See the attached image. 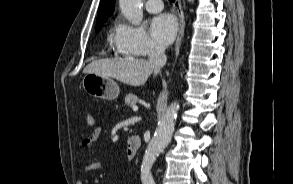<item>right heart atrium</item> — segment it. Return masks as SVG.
I'll list each match as a JSON object with an SVG mask.
<instances>
[{"label":"right heart atrium","instance_id":"1","mask_svg":"<svg viewBox=\"0 0 293 184\" xmlns=\"http://www.w3.org/2000/svg\"><path fill=\"white\" fill-rule=\"evenodd\" d=\"M114 45L118 53L127 56H152L162 52L141 26H132L123 20L116 25Z\"/></svg>","mask_w":293,"mask_h":184}]
</instances>
